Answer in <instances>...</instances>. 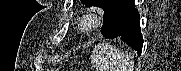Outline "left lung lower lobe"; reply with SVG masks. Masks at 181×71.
<instances>
[{"label":"left lung lower lobe","instance_id":"left-lung-lower-lobe-1","mask_svg":"<svg viewBox=\"0 0 181 71\" xmlns=\"http://www.w3.org/2000/svg\"><path fill=\"white\" fill-rule=\"evenodd\" d=\"M101 33L106 38H120L141 54L143 38L140 31V17L134 8V0H117L104 13Z\"/></svg>","mask_w":181,"mask_h":71}]
</instances>
